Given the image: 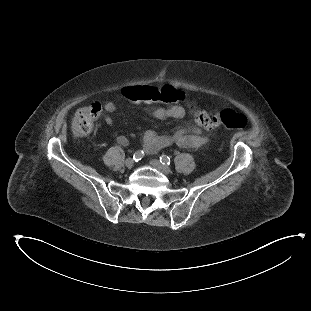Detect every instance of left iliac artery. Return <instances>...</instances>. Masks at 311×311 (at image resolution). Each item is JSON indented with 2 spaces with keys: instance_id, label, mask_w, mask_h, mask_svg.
<instances>
[{
  "instance_id": "44dca946",
  "label": "left iliac artery",
  "mask_w": 311,
  "mask_h": 311,
  "mask_svg": "<svg viewBox=\"0 0 311 311\" xmlns=\"http://www.w3.org/2000/svg\"><path fill=\"white\" fill-rule=\"evenodd\" d=\"M160 162H161L162 164H167V165H169V164L171 163V160H170V158H169L168 156H166V155H161V156H160Z\"/></svg>"
}]
</instances>
